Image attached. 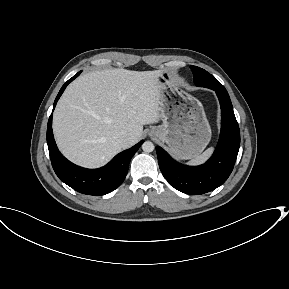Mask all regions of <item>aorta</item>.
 <instances>
[{"label":"aorta","mask_w":289,"mask_h":289,"mask_svg":"<svg viewBox=\"0 0 289 289\" xmlns=\"http://www.w3.org/2000/svg\"><path fill=\"white\" fill-rule=\"evenodd\" d=\"M142 150L146 153H150L154 150V144L151 141H145L142 144Z\"/></svg>","instance_id":"1"}]
</instances>
